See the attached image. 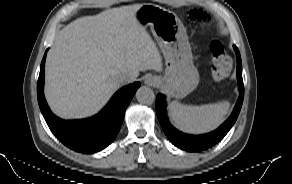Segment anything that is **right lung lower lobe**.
<instances>
[{
  "mask_svg": "<svg viewBox=\"0 0 292 184\" xmlns=\"http://www.w3.org/2000/svg\"><path fill=\"white\" fill-rule=\"evenodd\" d=\"M45 56L41 63L37 84L38 102L42 114L56 137L78 152L92 153L107 147L116 137L125 109L140 86L135 82L115 94L105 109L97 116L82 121H63L49 110L43 95Z\"/></svg>",
  "mask_w": 292,
  "mask_h": 184,
  "instance_id": "right-lung-lower-lobe-1",
  "label": "right lung lower lobe"
}]
</instances>
